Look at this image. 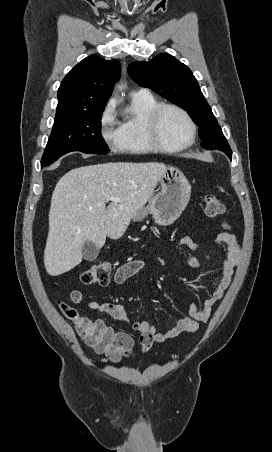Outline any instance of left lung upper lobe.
<instances>
[{
  "mask_svg": "<svg viewBox=\"0 0 272 452\" xmlns=\"http://www.w3.org/2000/svg\"><path fill=\"white\" fill-rule=\"evenodd\" d=\"M128 73L138 85L152 89L171 103L187 110L199 126L203 148L221 150L227 156L232 154L196 78L185 64L162 53L148 62L131 63Z\"/></svg>",
  "mask_w": 272,
  "mask_h": 452,
  "instance_id": "obj_1",
  "label": "left lung upper lobe"
}]
</instances>
